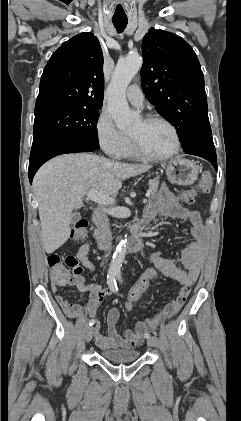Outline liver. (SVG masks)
I'll use <instances>...</instances> for the list:
<instances>
[{"instance_id":"1","label":"liver","mask_w":241,"mask_h":421,"mask_svg":"<svg viewBox=\"0 0 241 421\" xmlns=\"http://www.w3.org/2000/svg\"><path fill=\"white\" fill-rule=\"evenodd\" d=\"M150 168V165L126 164L87 153L62 155L45 163L33 180L44 250L52 253L67 241L73 211L81 208L89 190L114 195L123 180Z\"/></svg>"}]
</instances>
